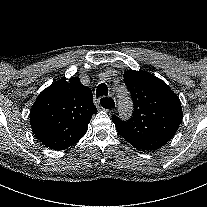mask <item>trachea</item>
Here are the masks:
<instances>
[{
    "instance_id": "trachea-1",
    "label": "trachea",
    "mask_w": 207,
    "mask_h": 207,
    "mask_svg": "<svg viewBox=\"0 0 207 207\" xmlns=\"http://www.w3.org/2000/svg\"><path fill=\"white\" fill-rule=\"evenodd\" d=\"M108 94V87L107 85H105L104 83H101L98 85L97 89H96V96H103V95H107ZM100 104L102 107H107V106H111L113 107V99L112 98H102L100 100Z\"/></svg>"
}]
</instances>
